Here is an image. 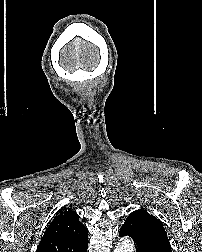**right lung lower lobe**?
I'll list each match as a JSON object with an SVG mask.
<instances>
[{
  "mask_svg": "<svg viewBox=\"0 0 202 252\" xmlns=\"http://www.w3.org/2000/svg\"><path fill=\"white\" fill-rule=\"evenodd\" d=\"M87 248H88V244H87V247H86V249H85V252H87Z\"/></svg>",
  "mask_w": 202,
  "mask_h": 252,
  "instance_id": "98d812e1",
  "label": "right lung lower lobe"
}]
</instances>
